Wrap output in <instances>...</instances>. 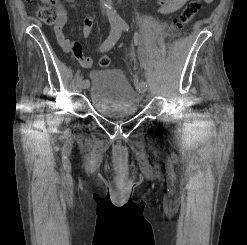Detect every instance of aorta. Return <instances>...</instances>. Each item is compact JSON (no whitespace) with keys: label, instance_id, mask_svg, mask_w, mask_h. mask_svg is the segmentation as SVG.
Here are the masks:
<instances>
[{"label":"aorta","instance_id":"1","mask_svg":"<svg viewBox=\"0 0 247 245\" xmlns=\"http://www.w3.org/2000/svg\"><path fill=\"white\" fill-rule=\"evenodd\" d=\"M107 14L111 24L121 25L123 23L122 18L118 15L112 6V0H107Z\"/></svg>","mask_w":247,"mask_h":245}]
</instances>
